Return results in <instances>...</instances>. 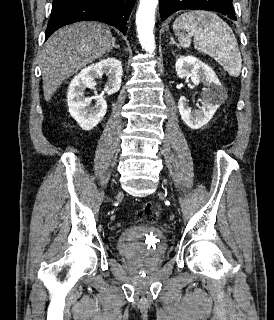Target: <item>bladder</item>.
<instances>
[{"label":"bladder","instance_id":"bladder-1","mask_svg":"<svg viewBox=\"0 0 274 320\" xmlns=\"http://www.w3.org/2000/svg\"><path fill=\"white\" fill-rule=\"evenodd\" d=\"M165 233L158 227L148 224L125 228L116 240L118 254L130 260H155L167 251Z\"/></svg>","mask_w":274,"mask_h":320}]
</instances>
